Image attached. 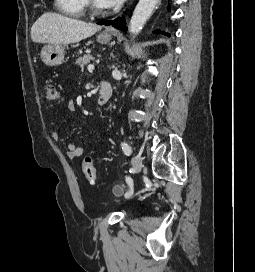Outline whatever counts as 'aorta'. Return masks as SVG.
I'll use <instances>...</instances> for the list:
<instances>
[{
	"mask_svg": "<svg viewBox=\"0 0 255 272\" xmlns=\"http://www.w3.org/2000/svg\"><path fill=\"white\" fill-rule=\"evenodd\" d=\"M160 0H139L131 17L129 32L133 38L139 34Z\"/></svg>",
	"mask_w": 255,
	"mask_h": 272,
	"instance_id": "obj_1",
	"label": "aorta"
}]
</instances>
